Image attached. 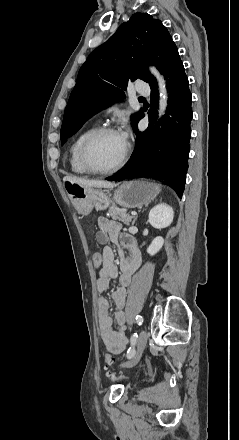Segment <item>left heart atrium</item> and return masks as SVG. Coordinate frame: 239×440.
Masks as SVG:
<instances>
[{"label":"left heart atrium","instance_id":"39dd6f15","mask_svg":"<svg viewBox=\"0 0 239 440\" xmlns=\"http://www.w3.org/2000/svg\"><path fill=\"white\" fill-rule=\"evenodd\" d=\"M123 140L127 143L129 139V133L126 130H122L119 132Z\"/></svg>","mask_w":239,"mask_h":440}]
</instances>
